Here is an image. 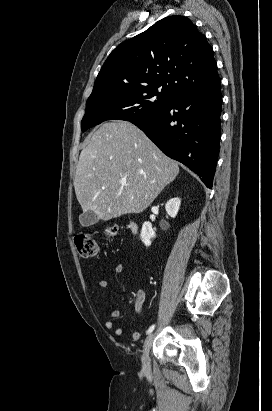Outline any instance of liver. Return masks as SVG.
Instances as JSON below:
<instances>
[{
  "label": "liver",
  "mask_w": 272,
  "mask_h": 411,
  "mask_svg": "<svg viewBox=\"0 0 272 411\" xmlns=\"http://www.w3.org/2000/svg\"><path fill=\"white\" fill-rule=\"evenodd\" d=\"M178 173V164L139 128L113 121L102 124L81 151L74 188L83 212L107 221L143 212Z\"/></svg>",
  "instance_id": "liver-1"
}]
</instances>
